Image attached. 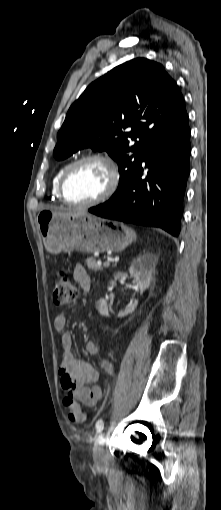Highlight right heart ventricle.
Returning <instances> with one entry per match:
<instances>
[{"label": "right heart ventricle", "instance_id": "e07e8e85", "mask_svg": "<svg viewBox=\"0 0 221 510\" xmlns=\"http://www.w3.org/2000/svg\"><path fill=\"white\" fill-rule=\"evenodd\" d=\"M67 165L68 164H64L61 167H59L53 177V180H52V196H53V199L56 201L61 200L59 193H58V185H59L60 177H61L64 169L67 167Z\"/></svg>", "mask_w": 221, "mask_h": 510}]
</instances>
